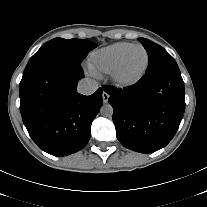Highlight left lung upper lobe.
<instances>
[{
	"mask_svg": "<svg viewBox=\"0 0 207 207\" xmlns=\"http://www.w3.org/2000/svg\"><path fill=\"white\" fill-rule=\"evenodd\" d=\"M148 53V68L146 73L157 70L167 64L176 63L174 58L160 45L145 39L138 38Z\"/></svg>",
	"mask_w": 207,
	"mask_h": 207,
	"instance_id": "1",
	"label": "left lung upper lobe"
}]
</instances>
